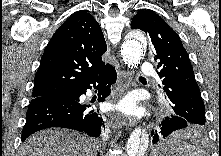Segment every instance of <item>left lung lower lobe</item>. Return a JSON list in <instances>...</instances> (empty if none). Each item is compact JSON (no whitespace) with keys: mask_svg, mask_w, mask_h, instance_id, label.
I'll use <instances>...</instances> for the list:
<instances>
[{"mask_svg":"<svg viewBox=\"0 0 221 156\" xmlns=\"http://www.w3.org/2000/svg\"><path fill=\"white\" fill-rule=\"evenodd\" d=\"M191 123L182 117H178L176 115H171V117H165L164 120L161 122V135L166 137L167 135L171 134L173 131L186 128ZM154 135L153 143H156L159 140V134L156 131H152L151 133Z\"/></svg>","mask_w":221,"mask_h":156,"instance_id":"obj_1","label":"left lung lower lobe"}]
</instances>
